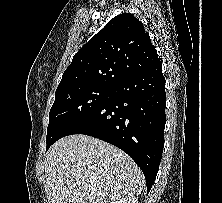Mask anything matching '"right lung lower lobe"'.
I'll return each mask as SVG.
<instances>
[{
	"label": "right lung lower lobe",
	"mask_w": 222,
	"mask_h": 203,
	"mask_svg": "<svg viewBox=\"0 0 222 203\" xmlns=\"http://www.w3.org/2000/svg\"><path fill=\"white\" fill-rule=\"evenodd\" d=\"M165 106L162 63L155 59L117 81L101 105L69 125L58 139L86 134L120 148L143 171L149 192L162 157Z\"/></svg>",
	"instance_id": "obj_1"
}]
</instances>
